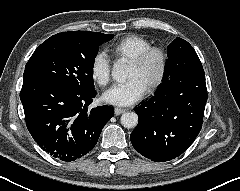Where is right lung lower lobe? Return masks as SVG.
Listing matches in <instances>:
<instances>
[{"label":"right lung lower lobe","mask_w":240,"mask_h":191,"mask_svg":"<svg viewBox=\"0 0 240 191\" xmlns=\"http://www.w3.org/2000/svg\"><path fill=\"white\" fill-rule=\"evenodd\" d=\"M96 91L76 93L51 83H23L20 99L27 128L52 157L74 161L90 152L113 117L110 106L88 109Z\"/></svg>","instance_id":"1"}]
</instances>
